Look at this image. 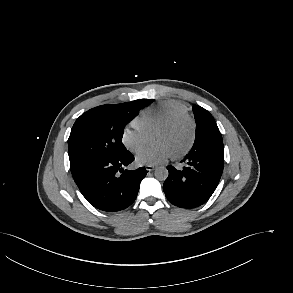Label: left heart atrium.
<instances>
[{
  "label": "left heart atrium",
  "instance_id": "1",
  "mask_svg": "<svg viewBox=\"0 0 293 293\" xmlns=\"http://www.w3.org/2000/svg\"><path fill=\"white\" fill-rule=\"evenodd\" d=\"M173 155L170 148L164 143H155L143 151L137 157L138 165L153 166L162 163Z\"/></svg>",
  "mask_w": 293,
  "mask_h": 293
}]
</instances>
